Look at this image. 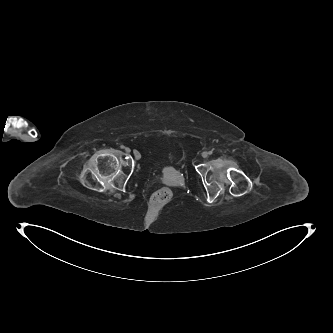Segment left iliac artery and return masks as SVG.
Here are the masks:
<instances>
[{
	"mask_svg": "<svg viewBox=\"0 0 333 333\" xmlns=\"http://www.w3.org/2000/svg\"><path fill=\"white\" fill-rule=\"evenodd\" d=\"M208 153H209V154H212V153H213V151L211 150V151H209Z\"/></svg>",
	"mask_w": 333,
	"mask_h": 333,
	"instance_id": "obj_1",
	"label": "left iliac artery"
}]
</instances>
